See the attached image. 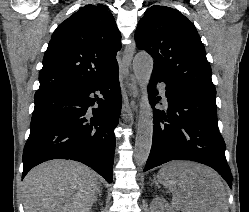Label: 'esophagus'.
Masks as SVG:
<instances>
[{"label": "esophagus", "mask_w": 249, "mask_h": 212, "mask_svg": "<svg viewBox=\"0 0 249 212\" xmlns=\"http://www.w3.org/2000/svg\"><path fill=\"white\" fill-rule=\"evenodd\" d=\"M135 52V42L127 44L122 57V75L125 79H129V67ZM127 120V119H126Z\"/></svg>", "instance_id": "obj_1"}]
</instances>
